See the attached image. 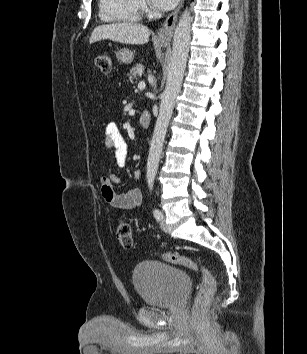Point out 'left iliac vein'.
<instances>
[{"instance_id": "1", "label": "left iliac vein", "mask_w": 307, "mask_h": 354, "mask_svg": "<svg viewBox=\"0 0 307 354\" xmlns=\"http://www.w3.org/2000/svg\"><path fill=\"white\" fill-rule=\"evenodd\" d=\"M160 227L161 229L164 231V232H168L169 229H168V226L167 224L165 223V220H164V216L162 215V218L160 220Z\"/></svg>"}]
</instances>
